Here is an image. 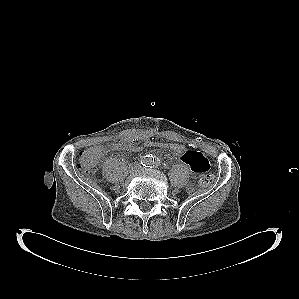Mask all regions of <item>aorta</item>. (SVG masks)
<instances>
[{
    "mask_svg": "<svg viewBox=\"0 0 299 299\" xmlns=\"http://www.w3.org/2000/svg\"><path fill=\"white\" fill-rule=\"evenodd\" d=\"M145 163L150 165L152 163V159L147 157L146 160H145Z\"/></svg>",
    "mask_w": 299,
    "mask_h": 299,
    "instance_id": "1",
    "label": "aorta"
}]
</instances>
